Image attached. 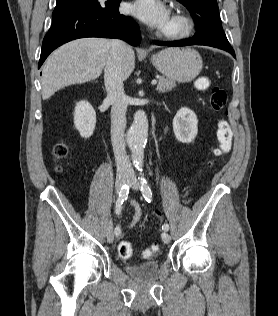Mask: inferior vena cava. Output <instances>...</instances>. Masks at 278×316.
Instances as JSON below:
<instances>
[{
  "label": "inferior vena cava",
  "instance_id": "obj_1",
  "mask_svg": "<svg viewBox=\"0 0 278 316\" xmlns=\"http://www.w3.org/2000/svg\"><path fill=\"white\" fill-rule=\"evenodd\" d=\"M128 46L120 40L111 41L110 55L104 69L107 99L111 102V142L117 172H130L132 167L125 151L127 98L123 87L122 62Z\"/></svg>",
  "mask_w": 278,
  "mask_h": 316
}]
</instances>
